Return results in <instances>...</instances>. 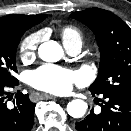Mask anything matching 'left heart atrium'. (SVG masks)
<instances>
[{"instance_id": "left-heart-atrium-1", "label": "left heart atrium", "mask_w": 131, "mask_h": 131, "mask_svg": "<svg viewBox=\"0 0 131 131\" xmlns=\"http://www.w3.org/2000/svg\"><path fill=\"white\" fill-rule=\"evenodd\" d=\"M29 82L38 90L61 95L68 93L74 84L81 83L82 77L70 69L44 65L30 73Z\"/></svg>"}]
</instances>
